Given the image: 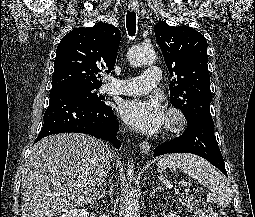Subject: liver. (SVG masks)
<instances>
[{
    "label": "liver",
    "mask_w": 255,
    "mask_h": 217,
    "mask_svg": "<svg viewBox=\"0 0 255 217\" xmlns=\"http://www.w3.org/2000/svg\"><path fill=\"white\" fill-rule=\"evenodd\" d=\"M112 159L107 144L86 134L63 133L40 140L25 164L22 217H56L93 202Z\"/></svg>",
    "instance_id": "obj_1"
}]
</instances>
